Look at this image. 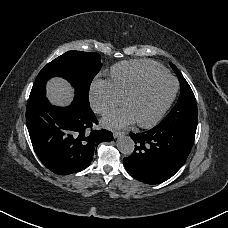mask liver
I'll list each match as a JSON object with an SVG mask.
<instances>
[{
	"label": "liver",
	"mask_w": 228,
	"mask_h": 228,
	"mask_svg": "<svg viewBox=\"0 0 228 228\" xmlns=\"http://www.w3.org/2000/svg\"><path fill=\"white\" fill-rule=\"evenodd\" d=\"M50 99L57 104H67L72 97V89L67 82L54 79L48 83Z\"/></svg>",
	"instance_id": "liver-1"
}]
</instances>
